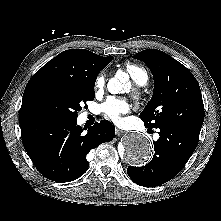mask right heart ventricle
Masks as SVG:
<instances>
[{"instance_id": "e07e8e85", "label": "right heart ventricle", "mask_w": 221, "mask_h": 221, "mask_svg": "<svg viewBox=\"0 0 221 221\" xmlns=\"http://www.w3.org/2000/svg\"><path fill=\"white\" fill-rule=\"evenodd\" d=\"M125 70L138 85H145L149 79L147 71L140 65L128 62L125 64Z\"/></svg>"}]
</instances>
